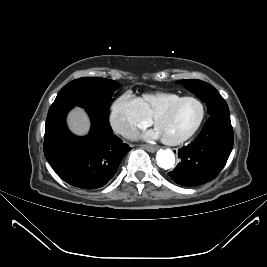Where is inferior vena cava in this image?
Instances as JSON below:
<instances>
[{
  "label": "inferior vena cava",
  "mask_w": 267,
  "mask_h": 267,
  "mask_svg": "<svg viewBox=\"0 0 267 267\" xmlns=\"http://www.w3.org/2000/svg\"><path fill=\"white\" fill-rule=\"evenodd\" d=\"M114 130L121 134L123 137L129 138V139H134L138 135L137 129L127 126V125H122V126H116Z\"/></svg>",
  "instance_id": "602c4592"
}]
</instances>
